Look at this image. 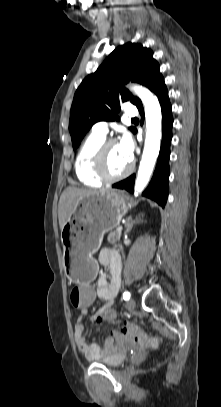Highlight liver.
<instances>
[{"label": "liver", "mask_w": 221, "mask_h": 407, "mask_svg": "<svg viewBox=\"0 0 221 407\" xmlns=\"http://www.w3.org/2000/svg\"><path fill=\"white\" fill-rule=\"evenodd\" d=\"M103 190L104 189H100V190L79 189V188H75V187L66 188L60 197L59 205H58V219H59L60 229L62 230L66 221L72 215L75 205L79 199H81L85 196L96 194Z\"/></svg>", "instance_id": "obj_1"}]
</instances>
